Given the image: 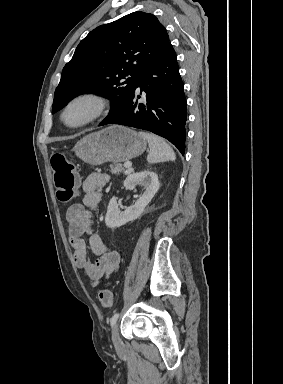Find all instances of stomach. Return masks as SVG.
Here are the masks:
<instances>
[{
  "label": "stomach",
  "mask_w": 283,
  "mask_h": 384,
  "mask_svg": "<svg viewBox=\"0 0 283 384\" xmlns=\"http://www.w3.org/2000/svg\"><path fill=\"white\" fill-rule=\"evenodd\" d=\"M76 156L90 164L101 166L105 162H128L146 150V140L129 128L109 126L79 140L73 148Z\"/></svg>",
  "instance_id": "obj_1"
}]
</instances>
